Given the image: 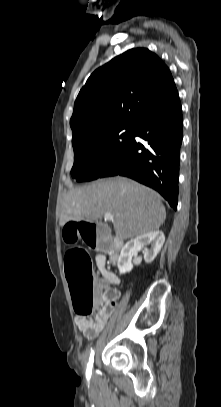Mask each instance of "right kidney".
<instances>
[{
    "label": "right kidney",
    "instance_id": "1",
    "mask_svg": "<svg viewBox=\"0 0 221 407\" xmlns=\"http://www.w3.org/2000/svg\"><path fill=\"white\" fill-rule=\"evenodd\" d=\"M165 242V236L162 231L156 230L147 234L138 236L135 239L128 241L122 248L118 258V269L120 274H125L133 269L132 258L137 251L144 248V260L146 263H151ZM151 244L150 249L146 245Z\"/></svg>",
    "mask_w": 221,
    "mask_h": 407
}]
</instances>
